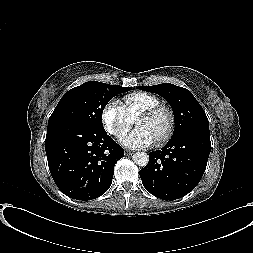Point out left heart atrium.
<instances>
[{
  "label": "left heart atrium",
  "instance_id": "39dd6f15",
  "mask_svg": "<svg viewBox=\"0 0 253 253\" xmlns=\"http://www.w3.org/2000/svg\"><path fill=\"white\" fill-rule=\"evenodd\" d=\"M153 135L143 128H137L121 139V143L128 148L141 149L156 143Z\"/></svg>",
  "mask_w": 253,
  "mask_h": 253
}]
</instances>
